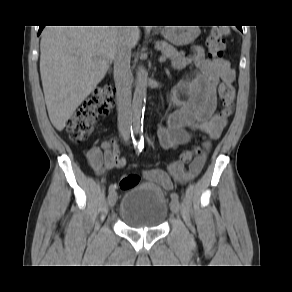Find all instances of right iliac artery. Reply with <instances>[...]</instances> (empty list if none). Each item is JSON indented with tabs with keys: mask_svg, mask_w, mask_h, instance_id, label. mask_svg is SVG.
I'll return each instance as SVG.
<instances>
[{
	"mask_svg": "<svg viewBox=\"0 0 292 292\" xmlns=\"http://www.w3.org/2000/svg\"><path fill=\"white\" fill-rule=\"evenodd\" d=\"M113 191H115V187H114L113 185H110V186H109V192L111 193V192H113Z\"/></svg>",
	"mask_w": 292,
	"mask_h": 292,
	"instance_id": "obj_1",
	"label": "right iliac artery"
}]
</instances>
